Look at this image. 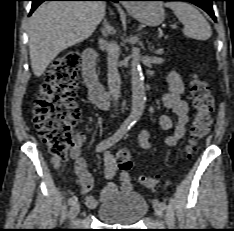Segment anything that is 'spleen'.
Wrapping results in <instances>:
<instances>
[{
    "instance_id": "obj_1",
    "label": "spleen",
    "mask_w": 234,
    "mask_h": 231,
    "mask_svg": "<svg viewBox=\"0 0 234 231\" xmlns=\"http://www.w3.org/2000/svg\"><path fill=\"white\" fill-rule=\"evenodd\" d=\"M166 7L173 10L175 16L184 25L183 34L196 40H207L212 31L203 15L187 2H167Z\"/></svg>"
}]
</instances>
